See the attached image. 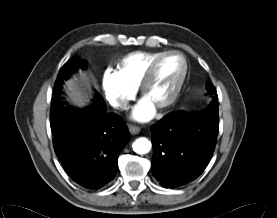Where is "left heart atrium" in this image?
Masks as SVG:
<instances>
[{
  "label": "left heart atrium",
  "instance_id": "left-heart-atrium-1",
  "mask_svg": "<svg viewBox=\"0 0 277 218\" xmlns=\"http://www.w3.org/2000/svg\"><path fill=\"white\" fill-rule=\"evenodd\" d=\"M155 106L147 99L142 98L134 107L132 117L138 121H147L154 116Z\"/></svg>",
  "mask_w": 277,
  "mask_h": 218
}]
</instances>
